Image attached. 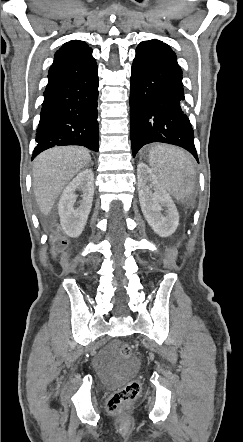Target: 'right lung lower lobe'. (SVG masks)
Returning a JSON list of instances; mask_svg holds the SVG:
<instances>
[{
  "mask_svg": "<svg viewBox=\"0 0 243 442\" xmlns=\"http://www.w3.org/2000/svg\"><path fill=\"white\" fill-rule=\"evenodd\" d=\"M97 69L92 49L52 64L32 159L56 145L98 151Z\"/></svg>",
  "mask_w": 243,
  "mask_h": 442,
  "instance_id": "right-lung-lower-lobe-1",
  "label": "right lung lower lobe"
}]
</instances>
